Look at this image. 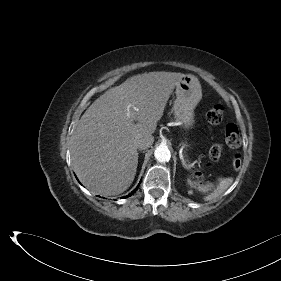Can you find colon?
Returning a JSON list of instances; mask_svg holds the SVG:
<instances>
[{"mask_svg":"<svg viewBox=\"0 0 281 281\" xmlns=\"http://www.w3.org/2000/svg\"><path fill=\"white\" fill-rule=\"evenodd\" d=\"M206 118L211 124H219L224 118V108L221 105H215L210 108L206 114ZM225 142L227 146L231 149L239 148L241 144V137L239 134L238 127L229 123L225 128ZM222 155V146L220 144L213 145L209 150V159L211 162H216ZM241 166V157L236 154L233 158V167L238 169ZM192 181L195 183H201L202 178L198 173L192 174Z\"/></svg>","mask_w":281,"mask_h":281,"instance_id":"obj_1","label":"colon"}]
</instances>
